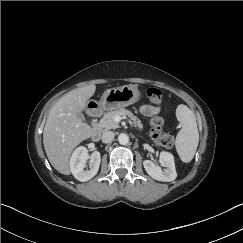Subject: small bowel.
<instances>
[{
  "instance_id": "obj_1",
  "label": "small bowel",
  "mask_w": 243,
  "mask_h": 243,
  "mask_svg": "<svg viewBox=\"0 0 243 243\" xmlns=\"http://www.w3.org/2000/svg\"><path fill=\"white\" fill-rule=\"evenodd\" d=\"M141 110H142V113H143L145 116H152V115L158 113L159 110H160V108H157V107H155V106H153V105H149V104H147V105H144V106L141 108Z\"/></svg>"
}]
</instances>
